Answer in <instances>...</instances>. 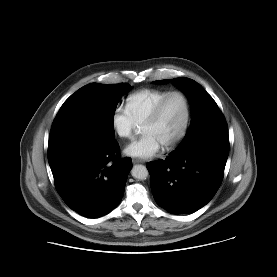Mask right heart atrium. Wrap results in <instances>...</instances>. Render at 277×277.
I'll list each match as a JSON object with an SVG mask.
<instances>
[{
    "instance_id": "d8ad5b80",
    "label": "right heart atrium",
    "mask_w": 277,
    "mask_h": 277,
    "mask_svg": "<svg viewBox=\"0 0 277 277\" xmlns=\"http://www.w3.org/2000/svg\"><path fill=\"white\" fill-rule=\"evenodd\" d=\"M111 124L116 135L124 139L132 138L139 127L128 110L123 107L115 109L112 114Z\"/></svg>"
}]
</instances>
